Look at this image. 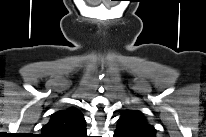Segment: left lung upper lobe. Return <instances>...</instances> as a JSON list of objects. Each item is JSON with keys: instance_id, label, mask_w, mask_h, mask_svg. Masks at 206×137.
<instances>
[{"instance_id": "5c2ea615", "label": "left lung upper lobe", "mask_w": 206, "mask_h": 137, "mask_svg": "<svg viewBox=\"0 0 206 137\" xmlns=\"http://www.w3.org/2000/svg\"><path fill=\"white\" fill-rule=\"evenodd\" d=\"M116 131L128 137H155V128L138 110H125L118 120Z\"/></svg>"}]
</instances>
